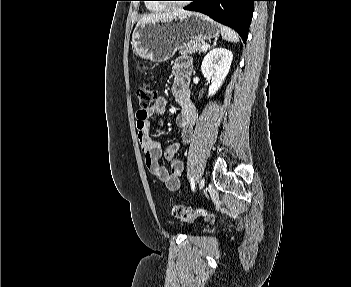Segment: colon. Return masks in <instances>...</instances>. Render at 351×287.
Returning a JSON list of instances; mask_svg holds the SVG:
<instances>
[{
	"label": "colon",
	"instance_id": "obj_1",
	"mask_svg": "<svg viewBox=\"0 0 351 287\" xmlns=\"http://www.w3.org/2000/svg\"><path fill=\"white\" fill-rule=\"evenodd\" d=\"M136 93L139 103L143 108L149 107L156 96L154 89L146 84H140L137 87ZM170 211L173 217L185 221H191L198 216H211L204 209L187 207L182 205H172Z\"/></svg>",
	"mask_w": 351,
	"mask_h": 287
}]
</instances>
